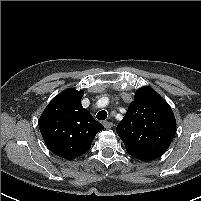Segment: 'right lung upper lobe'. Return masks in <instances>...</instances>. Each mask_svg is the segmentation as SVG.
Returning a JSON list of instances; mask_svg holds the SVG:
<instances>
[{"label":"right lung upper lobe","mask_w":201,"mask_h":201,"mask_svg":"<svg viewBox=\"0 0 201 201\" xmlns=\"http://www.w3.org/2000/svg\"><path fill=\"white\" fill-rule=\"evenodd\" d=\"M82 90L68 88L47 105L39 119V129L47 147L71 160L90 149L97 132L104 126L82 107Z\"/></svg>","instance_id":"cb5924a9"}]
</instances>
